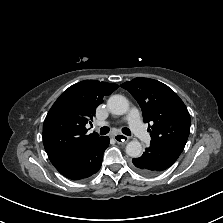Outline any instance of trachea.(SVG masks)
Masks as SVG:
<instances>
[{
	"label": "trachea",
	"mask_w": 223,
	"mask_h": 223,
	"mask_svg": "<svg viewBox=\"0 0 223 223\" xmlns=\"http://www.w3.org/2000/svg\"><path fill=\"white\" fill-rule=\"evenodd\" d=\"M109 128L104 126L100 129V134L101 135H106L109 132ZM122 132L123 134L130 136L131 135V131L128 128H122Z\"/></svg>",
	"instance_id": "obj_1"
}]
</instances>
